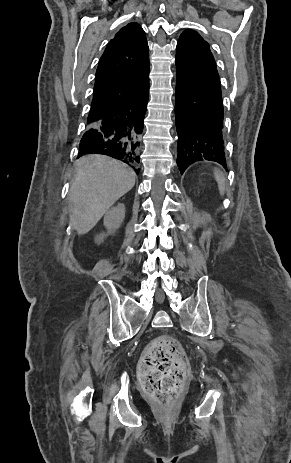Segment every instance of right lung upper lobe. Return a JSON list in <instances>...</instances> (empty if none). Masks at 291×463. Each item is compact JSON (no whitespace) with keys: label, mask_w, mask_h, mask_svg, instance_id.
Segmentation results:
<instances>
[{"label":"right lung upper lobe","mask_w":291,"mask_h":463,"mask_svg":"<svg viewBox=\"0 0 291 463\" xmlns=\"http://www.w3.org/2000/svg\"><path fill=\"white\" fill-rule=\"evenodd\" d=\"M148 52L145 32L137 23H129L115 34L99 60L88 124L119 108L149 83Z\"/></svg>","instance_id":"obj_1"}]
</instances>
